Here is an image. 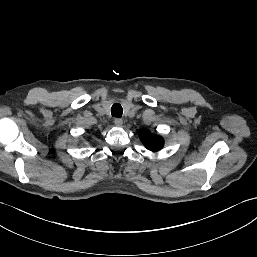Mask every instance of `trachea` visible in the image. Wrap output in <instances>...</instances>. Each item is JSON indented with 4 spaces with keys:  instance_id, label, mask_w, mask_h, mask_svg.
<instances>
[{
    "instance_id": "obj_1",
    "label": "trachea",
    "mask_w": 257,
    "mask_h": 257,
    "mask_svg": "<svg viewBox=\"0 0 257 257\" xmlns=\"http://www.w3.org/2000/svg\"><path fill=\"white\" fill-rule=\"evenodd\" d=\"M123 113L122 106L118 103L113 104L111 108V114L113 117L121 118Z\"/></svg>"
}]
</instances>
